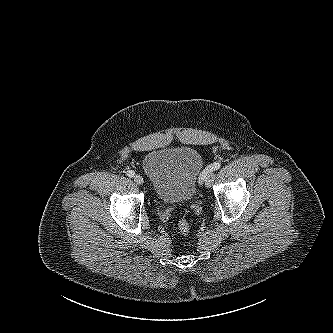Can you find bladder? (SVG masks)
Returning a JSON list of instances; mask_svg holds the SVG:
<instances>
[{
  "mask_svg": "<svg viewBox=\"0 0 333 333\" xmlns=\"http://www.w3.org/2000/svg\"><path fill=\"white\" fill-rule=\"evenodd\" d=\"M201 154L191 147H171L148 152L142 161L153 190L165 203L191 201L203 169Z\"/></svg>",
  "mask_w": 333,
  "mask_h": 333,
  "instance_id": "1",
  "label": "bladder"
}]
</instances>
